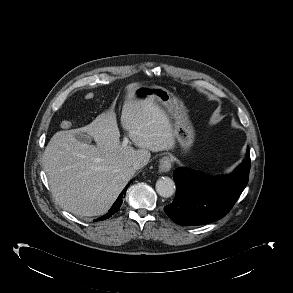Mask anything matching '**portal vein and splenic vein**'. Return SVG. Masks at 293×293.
Masks as SVG:
<instances>
[{
  "instance_id": "1",
  "label": "portal vein and splenic vein",
  "mask_w": 293,
  "mask_h": 293,
  "mask_svg": "<svg viewBox=\"0 0 293 293\" xmlns=\"http://www.w3.org/2000/svg\"><path fill=\"white\" fill-rule=\"evenodd\" d=\"M129 144V139L127 137H124V140H123V143H122V146H127Z\"/></svg>"
}]
</instances>
